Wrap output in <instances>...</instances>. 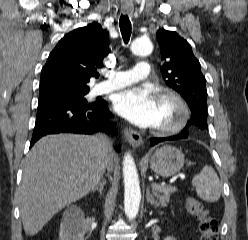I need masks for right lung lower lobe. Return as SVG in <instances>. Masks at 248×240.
<instances>
[{
  "label": "right lung lower lobe",
  "instance_id": "1",
  "mask_svg": "<svg viewBox=\"0 0 248 240\" xmlns=\"http://www.w3.org/2000/svg\"><path fill=\"white\" fill-rule=\"evenodd\" d=\"M111 116L104 100L88 104L66 100L39 102L30 147L48 134H91L99 130L115 133L114 123L108 121ZM120 149L121 146H115L117 152Z\"/></svg>",
  "mask_w": 248,
  "mask_h": 240
}]
</instances>
